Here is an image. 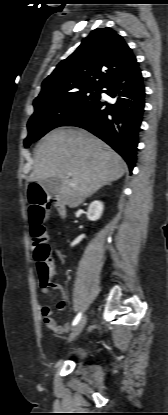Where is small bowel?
Masks as SVG:
<instances>
[{
	"mask_svg": "<svg viewBox=\"0 0 168 415\" xmlns=\"http://www.w3.org/2000/svg\"><path fill=\"white\" fill-rule=\"evenodd\" d=\"M61 261V259H60ZM54 289H57L61 292L62 294V299L58 302L57 304V308L59 311H64L66 308V301H65V293H64V289L63 287L58 284V283H54L51 285ZM41 292L43 294H48L49 293V287L48 286H42L41 287ZM41 313L42 316L44 318V322L46 324V326L53 330L54 332L57 333H62L65 332L68 328L67 324H63V325H59L56 323V321L54 320V318L52 317V311L49 305H44L41 309Z\"/></svg>",
	"mask_w": 168,
	"mask_h": 415,
	"instance_id": "c3829d8e",
	"label": "small bowel"
}]
</instances>
